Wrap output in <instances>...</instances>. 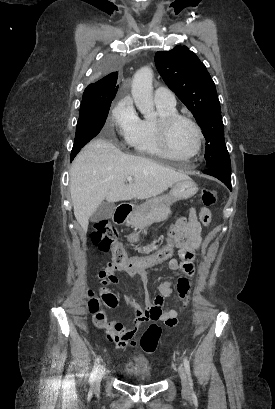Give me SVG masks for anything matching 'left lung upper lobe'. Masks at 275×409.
Returning <instances> with one entry per match:
<instances>
[{
  "mask_svg": "<svg viewBox=\"0 0 275 409\" xmlns=\"http://www.w3.org/2000/svg\"><path fill=\"white\" fill-rule=\"evenodd\" d=\"M155 63L167 86L192 112L204 133L206 167H222L230 172L220 103L205 65L186 46L180 45L170 51L156 52Z\"/></svg>",
  "mask_w": 275,
  "mask_h": 409,
  "instance_id": "obj_1",
  "label": "left lung upper lobe"
}]
</instances>
